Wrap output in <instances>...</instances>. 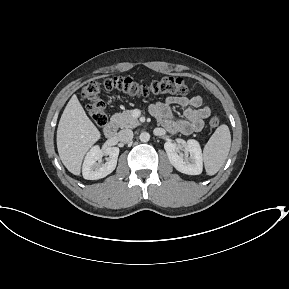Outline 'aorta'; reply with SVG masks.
I'll return each mask as SVG.
<instances>
[{"label": "aorta", "instance_id": "obj_1", "mask_svg": "<svg viewBox=\"0 0 289 289\" xmlns=\"http://www.w3.org/2000/svg\"><path fill=\"white\" fill-rule=\"evenodd\" d=\"M141 142H148L150 139V134L147 132H142L139 136Z\"/></svg>", "mask_w": 289, "mask_h": 289}]
</instances>
